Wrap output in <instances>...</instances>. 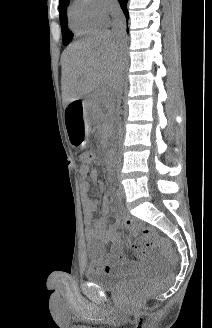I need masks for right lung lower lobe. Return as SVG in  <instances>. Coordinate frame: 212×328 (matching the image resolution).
I'll use <instances>...</instances> for the list:
<instances>
[{"mask_svg": "<svg viewBox=\"0 0 212 328\" xmlns=\"http://www.w3.org/2000/svg\"><path fill=\"white\" fill-rule=\"evenodd\" d=\"M118 1L120 3V6H121L123 12H124V15L126 16V19L128 20L129 14H128V10L126 8V4H127L128 0H118Z\"/></svg>", "mask_w": 212, "mask_h": 328, "instance_id": "obj_1", "label": "right lung lower lobe"}]
</instances>
